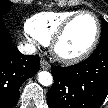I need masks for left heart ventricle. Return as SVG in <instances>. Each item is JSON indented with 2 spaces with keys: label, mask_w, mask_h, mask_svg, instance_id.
<instances>
[{
  "label": "left heart ventricle",
  "mask_w": 108,
  "mask_h": 108,
  "mask_svg": "<svg viewBox=\"0 0 108 108\" xmlns=\"http://www.w3.org/2000/svg\"><path fill=\"white\" fill-rule=\"evenodd\" d=\"M95 32L96 24L91 16L78 18L60 42L59 51L69 56L83 52L91 44Z\"/></svg>",
  "instance_id": "obj_1"
}]
</instances>
